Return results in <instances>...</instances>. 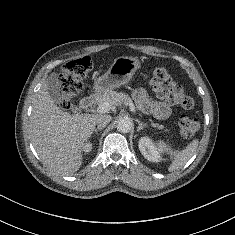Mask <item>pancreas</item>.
Wrapping results in <instances>:
<instances>
[{
  "label": "pancreas",
  "mask_w": 235,
  "mask_h": 235,
  "mask_svg": "<svg viewBox=\"0 0 235 235\" xmlns=\"http://www.w3.org/2000/svg\"><path fill=\"white\" fill-rule=\"evenodd\" d=\"M128 100H131V98L125 93L110 90L108 92L103 93L102 95H99L96 103L99 105L103 102H109L112 106L126 103Z\"/></svg>",
  "instance_id": "obj_1"
}]
</instances>
